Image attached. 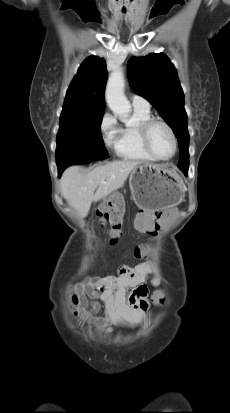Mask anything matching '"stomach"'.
Masks as SVG:
<instances>
[{"label":"stomach","instance_id":"obj_1","mask_svg":"<svg viewBox=\"0 0 230 413\" xmlns=\"http://www.w3.org/2000/svg\"><path fill=\"white\" fill-rule=\"evenodd\" d=\"M132 197L140 209H165L178 205L184 197L183 183L167 166L141 164L130 175Z\"/></svg>","mask_w":230,"mask_h":413}]
</instances>
